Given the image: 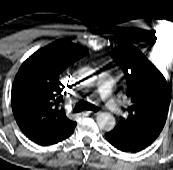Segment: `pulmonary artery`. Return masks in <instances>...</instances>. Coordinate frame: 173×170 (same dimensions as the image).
<instances>
[{
  "label": "pulmonary artery",
  "instance_id": "obj_1",
  "mask_svg": "<svg viewBox=\"0 0 173 170\" xmlns=\"http://www.w3.org/2000/svg\"><path fill=\"white\" fill-rule=\"evenodd\" d=\"M113 87V78L109 74H102L98 78V93L102 99L106 102L108 109L118 114L120 112L119 105L116 101L111 99Z\"/></svg>",
  "mask_w": 173,
  "mask_h": 170
}]
</instances>
